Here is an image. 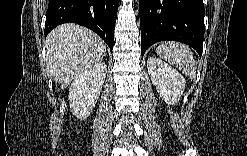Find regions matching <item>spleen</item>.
I'll list each match as a JSON object with an SVG mask.
<instances>
[{
    "label": "spleen",
    "mask_w": 247,
    "mask_h": 156,
    "mask_svg": "<svg viewBox=\"0 0 247 156\" xmlns=\"http://www.w3.org/2000/svg\"><path fill=\"white\" fill-rule=\"evenodd\" d=\"M160 58L178 68L191 79L196 77V64L190 48L176 41H164L156 49Z\"/></svg>",
    "instance_id": "obj_1"
}]
</instances>
